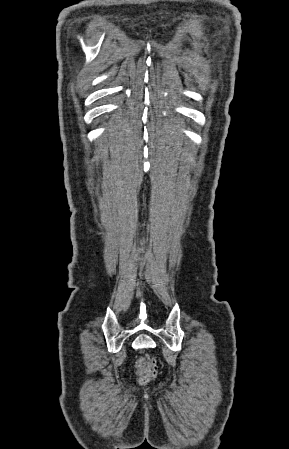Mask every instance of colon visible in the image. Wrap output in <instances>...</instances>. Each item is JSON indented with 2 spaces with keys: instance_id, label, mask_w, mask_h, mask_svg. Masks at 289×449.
Returning a JSON list of instances; mask_svg holds the SVG:
<instances>
[{
  "instance_id": "colon-1",
  "label": "colon",
  "mask_w": 289,
  "mask_h": 449,
  "mask_svg": "<svg viewBox=\"0 0 289 449\" xmlns=\"http://www.w3.org/2000/svg\"><path fill=\"white\" fill-rule=\"evenodd\" d=\"M146 360H147L146 368L140 376V381L143 384L153 380L158 373V365L156 359L153 357H147Z\"/></svg>"
}]
</instances>
